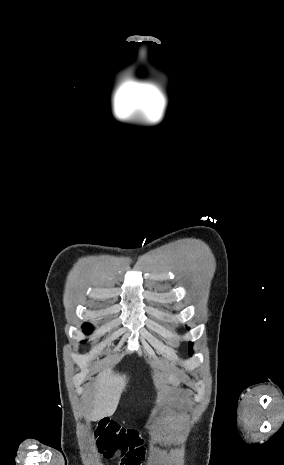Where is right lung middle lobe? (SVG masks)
<instances>
[{"label":"right lung middle lobe","instance_id":"dd1d6c3e","mask_svg":"<svg viewBox=\"0 0 284 465\" xmlns=\"http://www.w3.org/2000/svg\"><path fill=\"white\" fill-rule=\"evenodd\" d=\"M92 330H93L92 325H90V324H88V323H85V324L83 325V331H84V333L89 334V333H91Z\"/></svg>","mask_w":284,"mask_h":465}]
</instances>
